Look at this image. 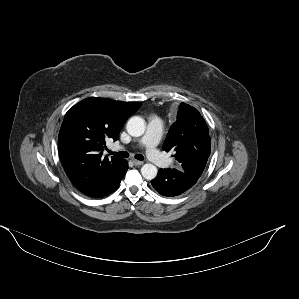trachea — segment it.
<instances>
[{
	"instance_id": "obj_1",
	"label": "trachea",
	"mask_w": 299,
	"mask_h": 299,
	"mask_svg": "<svg viewBox=\"0 0 299 299\" xmlns=\"http://www.w3.org/2000/svg\"><path fill=\"white\" fill-rule=\"evenodd\" d=\"M110 154H112V155H114L116 157H120V158H127V157H129V154L127 152H125V151H119V152H111L110 151ZM135 158L137 160H140V161L144 159L143 155H141V154H136Z\"/></svg>"
}]
</instances>
